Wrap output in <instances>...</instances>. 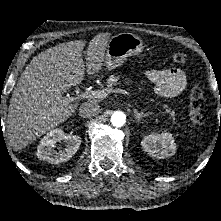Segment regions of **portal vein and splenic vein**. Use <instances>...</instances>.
Returning a JSON list of instances; mask_svg holds the SVG:
<instances>
[{
	"instance_id": "18ae733b",
	"label": "portal vein and splenic vein",
	"mask_w": 221,
	"mask_h": 221,
	"mask_svg": "<svg viewBox=\"0 0 221 221\" xmlns=\"http://www.w3.org/2000/svg\"><path fill=\"white\" fill-rule=\"evenodd\" d=\"M114 92V93H120L124 95L130 96V93L124 89L120 88H111L109 90L103 91V90H94V91H85L82 92L76 96H66L64 97V102L70 103L73 101L81 100V99H86V98H104L106 97L109 93Z\"/></svg>"
}]
</instances>
